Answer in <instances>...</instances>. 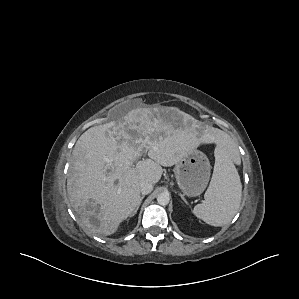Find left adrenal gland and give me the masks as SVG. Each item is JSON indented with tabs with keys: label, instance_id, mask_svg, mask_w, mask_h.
Listing matches in <instances>:
<instances>
[{
	"label": "left adrenal gland",
	"instance_id": "1",
	"mask_svg": "<svg viewBox=\"0 0 299 299\" xmlns=\"http://www.w3.org/2000/svg\"><path fill=\"white\" fill-rule=\"evenodd\" d=\"M179 196L181 197V199L184 201L185 204H188V202L186 201V199L184 198V196L181 193H179Z\"/></svg>",
	"mask_w": 299,
	"mask_h": 299
}]
</instances>
